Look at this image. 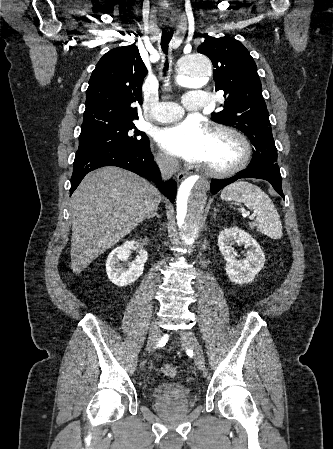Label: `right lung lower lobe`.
I'll use <instances>...</instances> for the list:
<instances>
[{
    "instance_id": "98d812e1",
    "label": "right lung lower lobe",
    "mask_w": 333,
    "mask_h": 449,
    "mask_svg": "<svg viewBox=\"0 0 333 449\" xmlns=\"http://www.w3.org/2000/svg\"><path fill=\"white\" fill-rule=\"evenodd\" d=\"M103 166H118L154 180L160 191L171 202H174L176 183L174 181L161 182L160 172L156 162L153 161L149 143L140 151L117 148L79 149L74 160L70 195L87 173Z\"/></svg>"
}]
</instances>
